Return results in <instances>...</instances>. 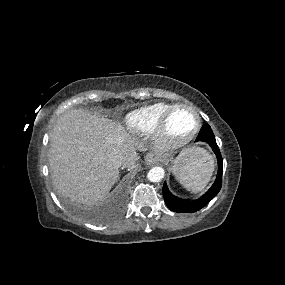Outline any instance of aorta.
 <instances>
[{
    "label": "aorta",
    "mask_w": 285,
    "mask_h": 285,
    "mask_svg": "<svg viewBox=\"0 0 285 285\" xmlns=\"http://www.w3.org/2000/svg\"><path fill=\"white\" fill-rule=\"evenodd\" d=\"M164 169L162 167H153L147 174L148 180L151 182H159L164 177Z\"/></svg>",
    "instance_id": "aorta-1"
}]
</instances>
